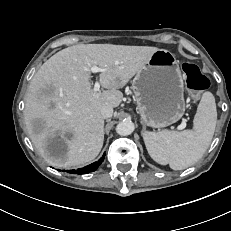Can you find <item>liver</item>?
Returning <instances> with one entry per match:
<instances>
[{"instance_id": "liver-1", "label": "liver", "mask_w": 231, "mask_h": 231, "mask_svg": "<svg viewBox=\"0 0 231 231\" xmlns=\"http://www.w3.org/2000/svg\"><path fill=\"white\" fill-rule=\"evenodd\" d=\"M159 50L149 46L78 44L49 58L32 78L25 99L24 119L29 137L45 161L67 168L93 160L104 141L101 108H115L122 101L123 88ZM106 69L99 82L106 90L95 92L91 67ZM42 120L44 127L34 129ZM62 141L63 151L50 149Z\"/></svg>"}]
</instances>
